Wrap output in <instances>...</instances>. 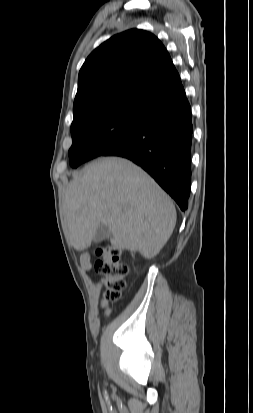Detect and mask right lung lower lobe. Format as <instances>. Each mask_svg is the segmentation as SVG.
<instances>
[{
	"label": "right lung lower lobe",
	"instance_id": "obj_1",
	"mask_svg": "<svg viewBox=\"0 0 253 413\" xmlns=\"http://www.w3.org/2000/svg\"><path fill=\"white\" fill-rule=\"evenodd\" d=\"M192 133L191 107L185 98L154 108L140 130L102 156L125 157L141 166L184 211L191 188Z\"/></svg>",
	"mask_w": 253,
	"mask_h": 413
}]
</instances>
